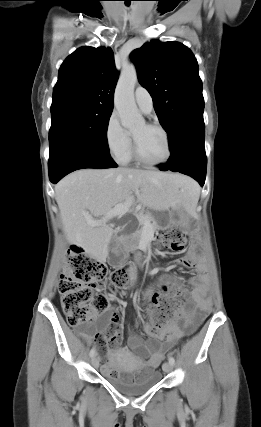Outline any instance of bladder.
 <instances>
[{
  "label": "bladder",
  "instance_id": "obj_1",
  "mask_svg": "<svg viewBox=\"0 0 261 427\" xmlns=\"http://www.w3.org/2000/svg\"><path fill=\"white\" fill-rule=\"evenodd\" d=\"M103 378L118 391L125 394L144 393L161 380L159 371L138 374L121 360L114 358L103 368Z\"/></svg>",
  "mask_w": 261,
  "mask_h": 427
}]
</instances>
